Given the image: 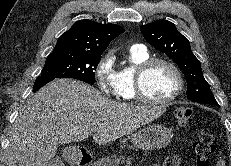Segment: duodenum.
Instances as JSON below:
<instances>
[{
	"mask_svg": "<svg viewBox=\"0 0 231 166\" xmlns=\"http://www.w3.org/2000/svg\"><path fill=\"white\" fill-rule=\"evenodd\" d=\"M63 157L72 166H89L92 162V156L84 150H67Z\"/></svg>",
	"mask_w": 231,
	"mask_h": 166,
	"instance_id": "duodenum-1",
	"label": "duodenum"
}]
</instances>
